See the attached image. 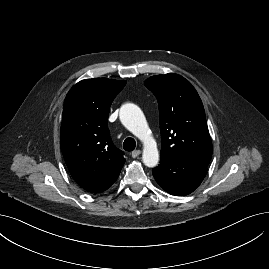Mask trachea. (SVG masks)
Instances as JSON below:
<instances>
[{
	"instance_id": "3493384b",
	"label": "trachea",
	"mask_w": 269,
	"mask_h": 269,
	"mask_svg": "<svg viewBox=\"0 0 269 269\" xmlns=\"http://www.w3.org/2000/svg\"><path fill=\"white\" fill-rule=\"evenodd\" d=\"M136 147V142L133 138H127L125 139L124 143H123V148L126 151H133Z\"/></svg>"
}]
</instances>
